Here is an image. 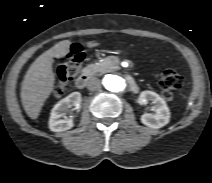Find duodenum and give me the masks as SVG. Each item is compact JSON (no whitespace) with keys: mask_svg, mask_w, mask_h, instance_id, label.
Here are the masks:
<instances>
[{"mask_svg":"<svg viewBox=\"0 0 212 183\" xmlns=\"http://www.w3.org/2000/svg\"><path fill=\"white\" fill-rule=\"evenodd\" d=\"M91 73L89 71H85L82 73L75 81V85L77 88L82 89L86 86Z\"/></svg>","mask_w":212,"mask_h":183,"instance_id":"obj_1","label":"duodenum"}]
</instances>
